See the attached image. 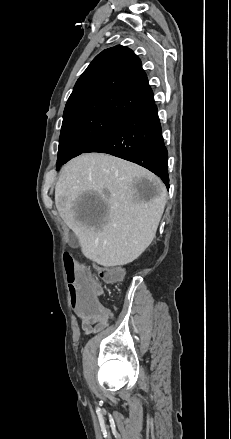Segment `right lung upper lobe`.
Here are the masks:
<instances>
[{"label":"right lung upper lobe","instance_id":"1","mask_svg":"<svg viewBox=\"0 0 231 439\" xmlns=\"http://www.w3.org/2000/svg\"><path fill=\"white\" fill-rule=\"evenodd\" d=\"M153 100L140 59L131 49L118 45L102 51L80 76L63 118L100 112L126 117Z\"/></svg>","mask_w":231,"mask_h":439}]
</instances>
